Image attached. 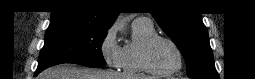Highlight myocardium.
Returning <instances> with one entry per match:
<instances>
[{
  "label": "myocardium",
  "mask_w": 255,
  "mask_h": 79,
  "mask_svg": "<svg viewBox=\"0 0 255 79\" xmlns=\"http://www.w3.org/2000/svg\"><path fill=\"white\" fill-rule=\"evenodd\" d=\"M158 40H163L168 42L176 51L177 56H178V64L177 66L169 71H159L156 68L152 66L150 63V58H149V52L153 44L158 41ZM140 62L143 67V69L152 75H157V76H168V75H173L180 71L183 66V52L181 48L178 46V44L172 40L169 37L159 35V34H154L151 36L149 39H147L144 44L142 45L141 51H140Z\"/></svg>",
  "instance_id": "obj_1"
}]
</instances>
